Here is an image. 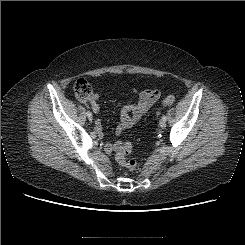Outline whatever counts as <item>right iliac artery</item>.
<instances>
[{
	"instance_id": "right-iliac-artery-1",
	"label": "right iliac artery",
	"mask_w": 245,
	"mask_h": 245,
	"mask_svg": "<svg viewBox=\"0 0 245 245\" xmlns=\"http://www.w3.org/2000/svg\"><path fill=\"white\" fill-rule=\"evenodd\" d=\"M86 114H87V116L92 115V113L90 111H87Z\"/></svg>"
}]
</instances>
